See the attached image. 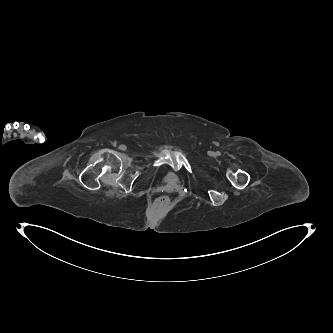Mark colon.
<instances>
[{"label": "colon", "instance_id": "1", "mask_svg": "<svg viewBox=\"0 0 333 333\" xmlns=\"http://www.w3.org/2000/svg\"><path fill=\"white\" fill-rule=\"evenodd\" d=\"M170 205V199L166 195L159 196L154 201V207L157 209H166Z\"/></svg>", "mask_w": 333, "mask_h": 333}]
</instances>
